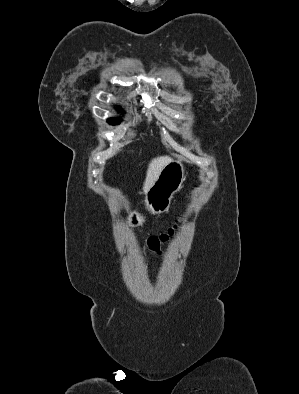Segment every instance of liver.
<instances>
[{
  "label": "liver",
  "mask_w": 299,
  "mask_h": 394,
  "mask_svg": "<svg viewBox=\"0 0 299 394\" xmlns=\"http://www.w3.org/2000/svg\"><path fill=\"white\" fill-rule=\"evenodd\" d=\"M169 161L170 158L168 156H161L152 159V161L149 163L146 179L143 185L144 193H146L151 188V186L157 179L162 167Z\"/></svg>",
  "instance_id": "obj_1"
}]
</instances>
